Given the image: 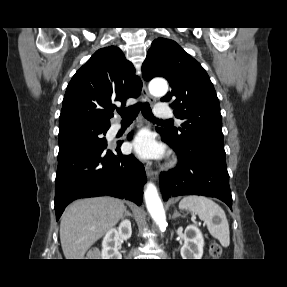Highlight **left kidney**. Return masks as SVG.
I'll list each match as a JSON object with an SVG mask.
<instances>
[{
  "label": "left kidney",
  "mask_w": 287,
  "mask_h": 287,
  "mask_svg": "<svg viewBox=\"0 0 287 287\" xmlns=\"http://www.w3.org/2000/svg\"><path fill=\"white\" fill-rule=\"evenodd\" d=\"M186 238L181 248L182 259H201L203 255L204 238L197 226L189 225L185 229Z\"/></svg>",
  "instance_id": "1"
}]
</instances>
